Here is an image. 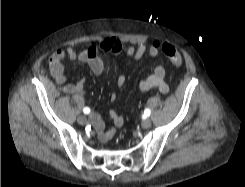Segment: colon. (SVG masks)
<instances>
[{
  "label": "colon",
  "instance_id": "colon-1",
  "mask_svg": "<svg viewBox=\"0 0 245 187\" xmlns=\"http://www.w3.org/2000/svg\"><path fill=\"white\" fill-rule=\"evenodd\" d=\"M162 53L168 58L171 65L175 68H179L183 64V57L180 52L171 44L164 43L161 46Z\"/></svg>",
  "mask_w": 245,
  "mask_h": 187
}]
</instances>
